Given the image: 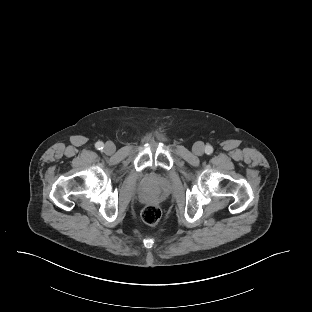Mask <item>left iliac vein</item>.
Masks as SVG:
<instances>
[{
	"label": "left iliac vein",
	"instance_id": "left-iliac-vein-1",
	"mask_svg": "<svg viewBox=\"0 0 312 312\" xmlns=\"http://www.w3.org/2000/svg\"><path fill=\"white\" fill-rule=\"evenodd\" d=\"M193 153L197 156H201L204 153V144L202 142H196L193 145Z\"/></svg>",
	"mask_w": 312,
	"mask_h": 312
}]
</instances>
